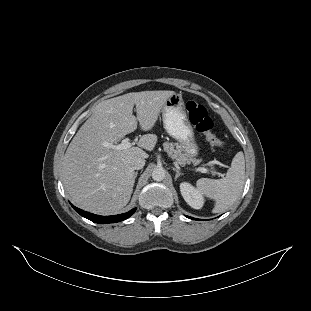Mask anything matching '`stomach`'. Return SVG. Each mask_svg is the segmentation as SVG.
<instances>
[{
    "label": "stomach",
    "mask_w": 311,
    "mask_h": 311,
    "mask_svg": "<svg viewBox=\"0 0 311 311\" xmlns=\"http://www.w3.org/2000/svg\"><path fill=\"white\" fill-rule=\"evenodd\" d=\"M162 121L166 133L177 142L178 150L189 160H196L201 149L181 94L175 93L166 101L162 110Z\"/></svg>",
    "instance_id": "obj_1"
}]
</instances>
